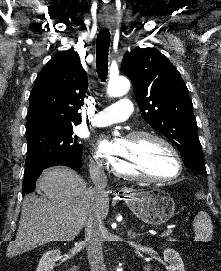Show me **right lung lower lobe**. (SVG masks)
<instances>
[{
    "label": "right lung lower lobe",
    "mask_w": 221,
    "mask_h": 271,
    "mask_svg": "<svg viewBox=\"0 0 221 271\" xmlns=\"http://www.w3.org/2000/svg\"><path fill=\"white\" fill-rule=\"evenodd\" d=\"M80 161H81V157L71 160V161H53V162H44V163H38V164L26 166L25 172H24L22 193L28 194L34 191L36 180L45 168L56 166V165H65V166H69L73 168L74 170H77L79 168Z\"/></svg>",
    "instance_id": "98d812e1"
}]
</instances>
